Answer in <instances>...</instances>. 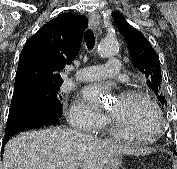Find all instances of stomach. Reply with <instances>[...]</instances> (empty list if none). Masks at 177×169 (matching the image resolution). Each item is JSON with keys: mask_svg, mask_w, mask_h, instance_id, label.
Wrapping results in <instances>:
<instances>
[{"mask_svg": "<svg viewBox=\"0 0 177 169\" xmlns=\"http://www.w3.org/2000/svg\"><path fill=\"white\" fill-rule=\"evenodd\" d=\"M121 164V159L119 156L113 157L104 167V169H119Z\"/></svg>", "mask_w": 177, "mask_h": 169, "instance_id": "obj_1", "label": "stomach"}]
</instances>
